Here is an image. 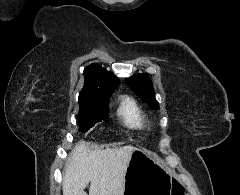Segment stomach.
Here are the masks:
<instances>
[{
    "mask_svg": "<svg viewBox=\"0 0 240 195\" xmlns=\"http://www.w3.org/2000/svg\"><path fill=\"white\" fill-rule=\"evenodd\" d=\"M171 175L158 157L134 147L125 173L123 195H170Z\"/></svg>",
    "mask_w": 240,
    "mask_h": 195,
    "instance_id": "1",
    "label": "stomach"
}]
</instances>
